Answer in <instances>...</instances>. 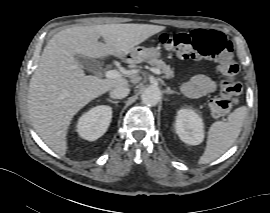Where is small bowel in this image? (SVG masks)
Returning <instances> with one entry per match:
<instances>
[{
  "mask_svg": "<svg viewBox=\"0 0 270 213\" xmlns=\"http://www.w3.org/2000/svg\"><path fill=\"white\" fill-rule=\"evenodd\" d=\"M214 90V81L206 75L192 76L182 85L183 93L190 98H199L212 93Z\"/></svg>",
  "mask_w": 270,
  "mask_h": 213,
  "instance_id": "obj_1",
  "label": "small bowel"
}]
</instances>
